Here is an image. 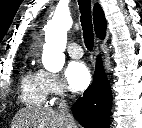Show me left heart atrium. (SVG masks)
<instances>
[{
    "label": "left heart atrium",
    "mask_w": 142,
    "mask_h": 128,
    "mask_svg": "<svg viewBox=\"0 0 142 128\" xmlns=\"http://www.w3.org/2000/svg\"><path fill=\"white\" fill-rule=\"evenodd\" d=\"M65 81L72 91L79 92L89 86L91 75L84 63L73 61L66 68Z\"/></svg>",
    "instance_id": "39dd6f15"
}]
</instances>
